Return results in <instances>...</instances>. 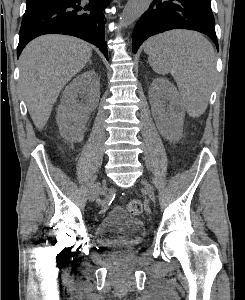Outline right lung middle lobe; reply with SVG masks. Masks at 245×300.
I'll return each instance as SVG.
<instances>
[{"mask_svg":"<svg viewBox=\"0 0 245 300\" xmlns=\"http://www.w3.org/2000/svg\"><path fill=\"white\" fill-rule=\"evenodd\" d=\"M45 1H48V0L27 1V2H26V7L29 8V7H32V6H34V5L40 4V3H42V2H45Z\"/></svg>","mask_w":245,"mask_h":300,"instance_id":"right-lung-middle-lobe-1","label":"right lung middle lobe"}]
</instances>
